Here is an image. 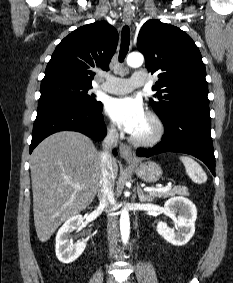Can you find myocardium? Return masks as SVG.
Here are the masks:
<instances>
[{"label": "myocardium", "instance_id": "obj_1", "mask_svg": "<svg viewBox=\"0 0 233 283\" xmlns=\"http://www.w3.org/2000/svg\"><path fill=\"white\" fill-rule=\"evenodd\" d=\"M146 116L152 121L154 130L152 134L147 137H137L132 134L130 140L136 146L152 147L157 145L164 137L165 126L160 116L153 111H148Z\"/></svg>", "mask_w": 233, "mask_h": 283}]
</instances>
